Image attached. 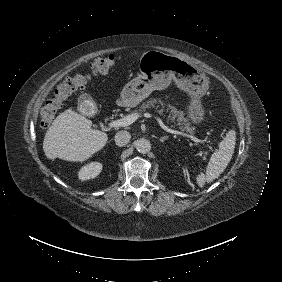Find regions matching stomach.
I'll use <instances>...</instances> for the list:
<instances>
[{
	"mask_svg": "<svg viewBox=\"0 0 282 282\" xmlns=\"http://www.w3.org/2000/svg\"><path fill=\"white\" fill-rule=\"evenodd\" d=\"M139 70L141 74L122 89L123 106H137L154 90L166 89L173 80L191 96L187 107L191 120L195 123L203 120L205 112L200 98L209 88V79L196 66L175 55L150 50L142 54Z\"/></svg>",
	"mask_w": 282,
	"mask_h": 282,
	"instance_id": "stomach-1",
	"label": "stomach"
}]
</instances>
